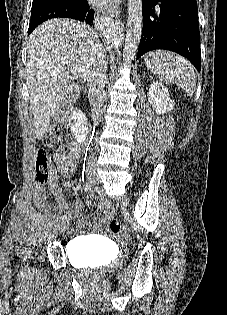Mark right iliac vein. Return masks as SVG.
I'll return each instance as SVG.
<instances>
[{
    "label": "right iliac vein",
    "instance_id": "obj_1",
    "mask_svg": "<svg viewBox=\"0 0 227 315\" xmlns=\"http://www.w3.org/2000/svg\"><path fill=\"white\" fill-rule=\"evenodd\" d=\"M87 179L90 183L95 184L98 181V176L95 170H90L87 173ZM69 227V221H64L60 225V230L61 232H64L68 229Z\"/></svg>",
    "mask_w": 227,
    "mask_h": 315
}]
</instances>
